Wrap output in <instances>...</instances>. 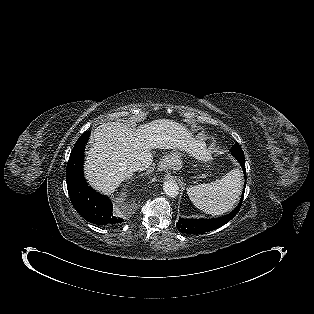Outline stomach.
<instances>
[{
	"label": "stomach",
	"mask_w": 314,
	"mask_h": 314,
	"mask_svg": "<svg viewBox=\"0 0 314 314\" xmlns=\"http://www.w3.org/2000/svg\"><path fill=\"white\" fill-rule=\"evenodd\" d=\"M181 156H182L181 152H179L178 150H173L167 155V157L164 160V163L167 166L178 170L182 166Z\"/></svg>",
	"instance_id": "stomach-1"
}]
</instances>
